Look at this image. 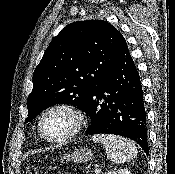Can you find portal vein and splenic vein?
Instances as JSON below:
<instances>
[{"instance_id": "obj_1", "label": "portal vein and splenic vein", "mask_w": 175, "mask_h": 174, "mask_svg": "<svg viewBox=\"0 0 175 174\" xmlns=\"http://www.w3.org/2000/svg\"><path fill=\"white\" fill-rule=\"evenodd\" d=\"M94 172H95V174H99L100 173V169L98 167H95Z\"/></svg>"}]
</instances>
